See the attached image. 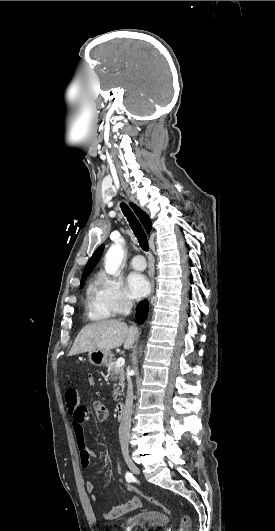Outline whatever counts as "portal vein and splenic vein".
Wrapping results in <instances>:
<instances>
[{"instance_id": "obj_1", "label": "portal vein and splenic vein", "mask_w": 275, "mask_h": 531, "mask_svg": "<svg viewBox=\"0 0 275 531\" xmlns=\"http://www.w3.org/2000/svg\"><path fill=\"white\" fill-rule=\"evenodd\" d=\"M125 363V359H122V357H120V359H117L116 361V367H123Z\"/></svg>"}]
</instances>
